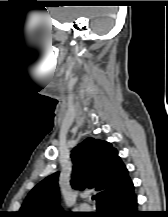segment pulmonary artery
Here are the masks:
<instances>
[{"label": "pulmonary artery", "mask_w": 168, "mask_h": 217, "mask_svg": "<svg viewBox=\"0 0 168 217\" xmlns=\"http://www.w3.org/2000/svg\"><path fill=\"white\" fill-rule=\"evenodd\" d=\"M80 207H81L82 209H88V206H87L86 204H82Z\"/></svg>", "instance_id": "e3ab8cb5"}]
</instances>
